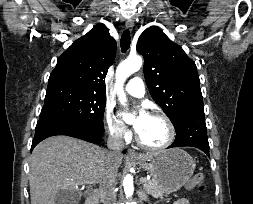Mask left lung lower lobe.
<instances>
[{"instance_id":"obj_1","label":"left lung lower lobe","mask_w":253,"mask_h":204,"mask_svg":"<svg viewBox=\"0 0 253 204\" xmlns=\"http://www.w3.org/2000/svg\"><path fill=\"white\" fill-rule=\"evenodd\" d=\"M175 130L176 138L169 148L183 146L196 147L209 156V143L204 111H196L189 114Z\"/></svg>"}]
</instances>
